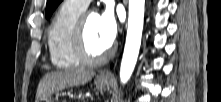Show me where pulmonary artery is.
Segmentation results:
<instances>
[{"instance_id":"obj_1","label":"pulmonary artery","mask_w":221,"mask_h":102,"mask_svg":"<svg viewBox=\"0 0 221 102\" xmlns=\"http://www.w3.org/2000/svg\"><path fill=\"white\" fill-rule=\"evenodd\" d=\"M71 1L77 3L78 5H80L83 8H86L89 5V3L91 2V0H71Z\"/></svg>"}]
</instances>
